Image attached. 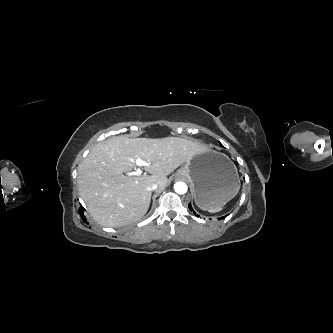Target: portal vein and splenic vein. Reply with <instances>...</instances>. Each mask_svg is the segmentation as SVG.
Listing matches in <instances>:
<instances>
[{
  "label": "portal vein and splenic vein",
  "instance_id": "1",
  "mask_svg": "<svg viewBox=\"0 0 333 333\" xmlns=\"http://www.w3.org/2000/svg\"><path fill=\"white\" fill-rule=\"evenodd\" d=\"M134 163L136 164L137 166V169L133 172H127L126 175L127 176H138V175H141L142 174V170L141 168L143 166H149V163H147L146 161L138 158L136 160H134Z\"/></svg>",
  "mask_w": 333,
  "mask_h": 333
}]
</instances>
